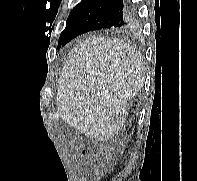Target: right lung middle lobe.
I'll list each match as a JSON object with an SVG mask.
<instances>
[{"label": "right lung middle lobe", "mask_w": 197, "mask_h": 181, "mask_svg": "<svg viewBox=\"0 0 197 181\" xmlns=\"http://www.w3.org/2000/svg\"><path fill=\"white\" fill-rule=\"evenodd\" d=\"M84 10H76L74 9L68 19H67V24L66 27L64 29V31L61 33L59 42H58V47L62 44V42L64 41V39L67 37L69 30L71 29L72 25L74 24V22L77 20V18L82 14ZM114 29V28H113Z\"/></svg>", "instance_id": "obj_1"}]
</instances>
